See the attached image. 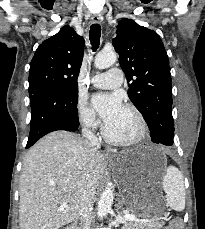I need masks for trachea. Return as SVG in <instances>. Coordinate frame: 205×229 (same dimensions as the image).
Returning a JSON list of instances; mask_svg holds the SVG:
<instances>
[{"label": "trachea", "mask_w": 205, "mask_h": 229, "mask_svg": "<svg viewBox=\"0 0 205 229\" xmlns=\"http://www.w3.org/2000/svg\"><path fill=\"white\" fill-rule=\"evenodd\" d=\"M101 36V27L99 24L94 23L90 27L89 39L92 45V49L96 51L99 48Z\"/></svg>", "instance_id": "trachea-1"}]
</instances>
